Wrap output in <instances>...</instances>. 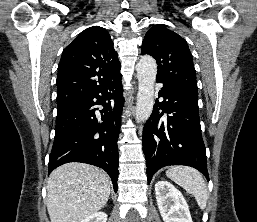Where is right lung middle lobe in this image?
<instances>
[{
    "mask_svg": "<svg viewBox=\"0 0 257 222\" xmlns=\"http://www.w3.org/2000/svg\"><path fill=\"white\" fill-rule=\"evenodd\" d=\"M67 106H58V111L66 108Z\"/></svg>",
    "mask_w": 257,
    "mask_h": 222,
    "instance_id": "obj_1",
    "label": "right lung middle lobe"
}]
</instances>
